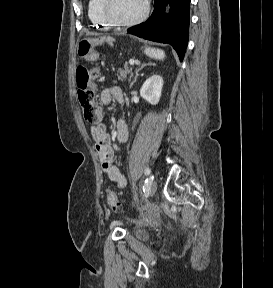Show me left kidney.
Returning <instances> with one entry per match:
<instances>
[{"label": "left kidney", "instance_id": "1", "mask_svg": "<svg viewBox=\"0 0 273 288\" xmlns=\"http://www.w3.org/2000/svg\"><path fill=\"white\" fill-rule=\"evenodd\" d=\"M163 88V78L160 75L149 77L141 87L140 95L152 105L158 104Z\"/></svg>", "mask_w": 273, "mask_h": 288}]
</instances>
